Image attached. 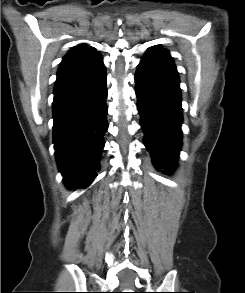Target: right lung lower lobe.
Returning <instances> with one entry per match:
<instances>
[{
  "label": "right lung lower lobe",
  "mask_w": 245,
  "mask_h": 293,
  "mask_svg": "<svg viewBox=\"0 0 245 293\" xmlns=\"http://www.w3.org/2000/svg\"><path fill=\"white\" fill-rule=\"evenodd\" d=\"M105 66L93 75L54 92L53 143L68 188L88 186L100 169L108 128Z\"/></svg>",
  "instance_id": "98d812e1"
}]
</instances>
